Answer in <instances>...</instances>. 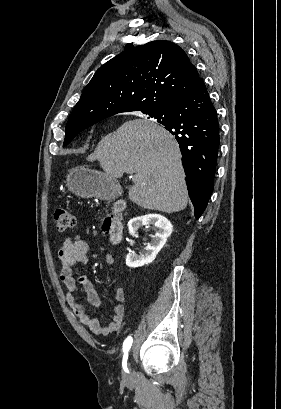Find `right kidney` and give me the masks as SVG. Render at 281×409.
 Here are the masks:
<instances>
[{
    "label": "right kidney",
    "instance_id": "ca27d5eb",
    "mask_svg": "<svg viewBox=\"0 0 281 409\" xmlns=\"http://www.w3.org/2000/svg\"><path fill=\"white\" fill-rule=\"evenodd\" d=\"M143 225H154L155 235H153L151 243L145 247L144 253H139V255L128 253L126 257L127 267H143V265L152 263L173 231V225L163 215H142V217L130 219L127 225L130 235H134Z\"/></svg>",
    "mask_w": 281,
    "mask_h": 409
}]
</instances>
